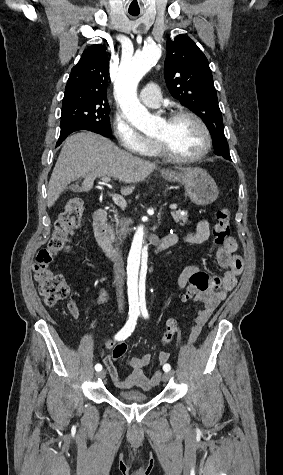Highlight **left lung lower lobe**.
Wrapping results in <instances>:
<instances>
[{
	"instance_id": "left-lung-lower-lobe-1",
	"label": "left lung lower lobe",
	"mask_w": 283,
	"mask_h": 475,
	"mask_svg": "<svg viewBox=\"0 0 283 475\" xmlns=\"http://www.w3.org/2000/svg\"><path fill=\"white\" fill-rule=\"evenodd\" d=\"M214 153L218 156H222L225 159L231 160L228 143L225 136L214 135L212 136Z\"/></svg>"
}]
</instances>
